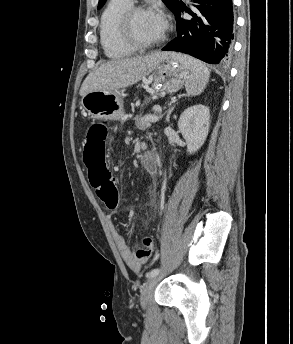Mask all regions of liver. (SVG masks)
Returning a JSON list of instances; mask_svg holds the SVG:
<instances>
[{
    "label": "liver",
    "mask_w": 293,
    "mask_h": 344,
    "mask_svg": "<svg viewBox=\"0 0 293 344\" xmlns=\"http://www.w3.org/2000/svg\"><path fill=\"white\" fill-rule=\"evenodd\" d=\"M168 55L170 54L156 52L103 63L86 77L81 86L80 95L83 97L92 91L113 92L132 86L144 79L158 62Z\"/></svg>",
    "instance_id": "6515ba94"
}]
</instances>
